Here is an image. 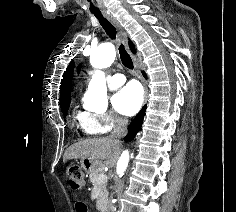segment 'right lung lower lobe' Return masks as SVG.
I'll return each instance as SVG.
<instances>
[{
  "label": "right lung lower lobe",
  "instance_id": "98d812e1",
  "mask_svg": "<svg viewBox=\"0 0 236 212\" xmlns=\"http://www.w3.org/2000/svg\"><path fill=\"white\" fill-rule=\"evenodd\" d=\"M143 76L146 77L145 73L142 72ZM146 106L142 108V110L138 113L136 118L131 122L129 128H128V134L124 138L126 141H130L135 137V135L139 132L141 129L142 123H143V118L145 114Z\"/></svg>",
  "mask_w": 236,
  "mask_h": 212
}]
</instances>
